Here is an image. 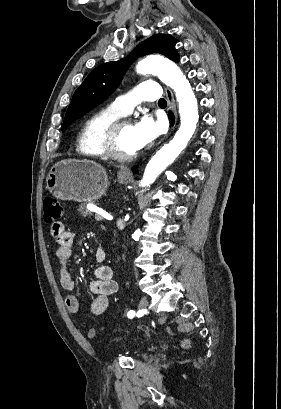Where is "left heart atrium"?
Instances as JSON below:
<instances>
[{
    "instance_id": "39dd6f15",
    "label": "left heart atrium",
    "mask_w": 281,
    "mask_h": 409,
    "mask_svg": "<svg viewBox=\"0 0 281 409\" xmlns=\"http://www.w3.org/2000/svg\"><path fill=\"white\" fill-rule=\"evenodd\" d=\"M135 138L139 149L151 144L163 131L161 121L154 122L150 117H143L134 126Z\"/></svg>"
}]
</instances>
